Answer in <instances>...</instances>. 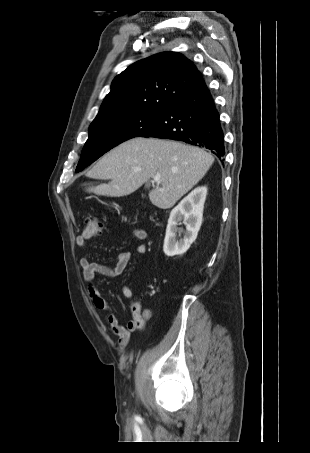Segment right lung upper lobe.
I'll return each mask as SVG.
<instances>
[{
  "instance_id": "right-lung-upper-lobe-1",
  "label": "right lung upper lobe",
  "mask_w": 310,
  "mask_h": 453,
  "mask_svg": "<svg viewBox=\"0 0 310 453\" xmlns=\"http://www.w3.org/2000/svg\"><path fill=\"white\" fill-rule=\"evenodd\" d=\"M204 80L176 52H162L130 65L115 77L95 119L122 112H163Z\"/></svg>"
}]
</instances>
